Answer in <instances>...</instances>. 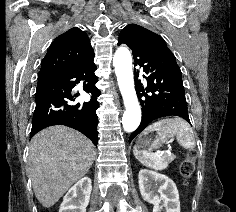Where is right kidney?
<instances>
[{
  "label": "right kidney",
  "mask_w": 236,
  "mask_h": 212,
  "mask_svg": "<svg viewBox=\"0 0 236 212\" xmlns=\"http://www.w3.org/2000/svg\"><path fill=\"white\" fill-rule=\"evenodd\" d=\"M91 190L92 182L89 177L79 180L64 196L59 212H86Z\"/></svg>",
  "instance_id": "obj_1"
}]
</instances>
